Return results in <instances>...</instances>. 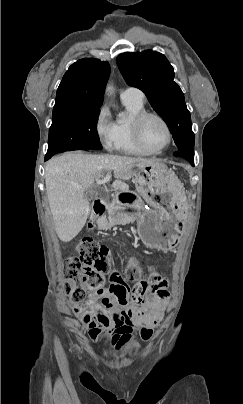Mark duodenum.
Wrapping results in <instances>:
<instances>
[{
	"label": "duodenum",
	"mask_w": 243,
	"mask_h": 404,
	"mask_svg": "<svg viewBox=\"0 0 243 404\" xmlns=\"http://www.w3.org/2000/svg\"><path fill=\"white\" fill-rule=\"evenodd\" d=\"M135 196L129 191L121 190L116 193L111 202H107L105 199H97L93 203L94 217H98L104 213L107 208H118L128 206L132 203Z\"/></svg>",
	"instance_id": "duodenum-1"
}]
</instances>
